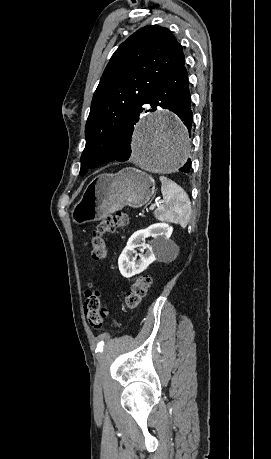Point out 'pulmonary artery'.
<instances>
[{"label":"pulmonary artery","mask_w":271,"mask_h":459,"mask_svg":"<svg viewBox=\"0 0 271 459\" xmlns=\"http://www.w3.org/2000/svg\"><path fill=\"white\" fill-rule=\"evenodd\" d=\"M145 108H146L147 110H152V109L154 108V103H153L152 101H147V102L145 103Z\"/></svg>","instance_id":"1"}]
</instances>
